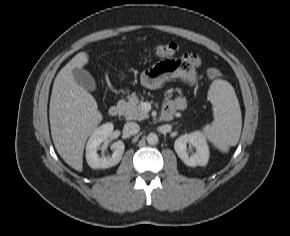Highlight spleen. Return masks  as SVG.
<instances>
[{"mask_svg": "<svg viewBox=\"0 0 290 236\" xmlns=\"http://www.w3.org/2000/svg\"><path fill=\"white\" fill-rule=\"evenodd\" d=\"M214 109V121L203 128L205 136L221 151L228 152L238 143L242 117L240 105L232 85L222 79L212 82L209 90Z\"/></svg>", "mask_w": 290, "mask_h": 236, "instance_id": "3e777b00", "label": "spleen"}]
</instances>
